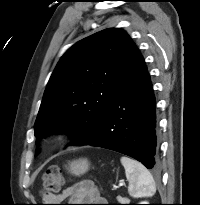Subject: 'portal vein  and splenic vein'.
I'll return each mask as SVG.
<instances>
[{"instance_id": "obj_1", "label": "portal vein and splenic vein", "mask_w": 200, "mask_h": 205, "mask_svg": "<svg viewBox=\"0 0 200 205\" xmlns=\"http://www.w3.org/2000/svg\"><path fill=\"white\" fill-rule=\"evenodd\" d=\"M124 185V183L123 182H120L119 184H118V187H121V186H123Z\"/></svg>"}]
</instances>
